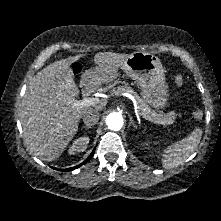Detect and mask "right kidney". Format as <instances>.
<instances>
[{
	"label": "right kidney",
	"instance_id": "ca27d5eb",
	"mask_svg": "<svg viewBox=\"0 0 221 221\" xmlns=\"http://www.w3.org/2000/svg\"><path fill=\"white\" fill-rule=\"evenodd\" d=\"M89 137L83 136L76 139L73 144L70 146L68 153L70 155L75 154L77 152H84L89 144Z\"/></svg>",
	"mask_w": 221,
	"mask_h": 221
}]
</instances>
